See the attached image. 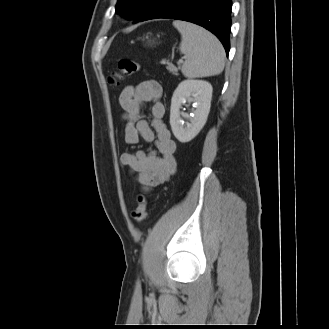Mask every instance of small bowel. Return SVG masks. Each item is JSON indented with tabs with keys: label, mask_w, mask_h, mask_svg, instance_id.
<instances>
[{
	"label": "small bowel",
	"mask_w": 329,
	"mask_h": 329,
	"mask_svg": "<svg viewBox=\"0 0 329 329\" xmlns=\"http://www.w3.org/2000/svg\"><path fill=\"white\" fill-rule=\"evenodd\" d=\"M162 86L156 81H144L126 86L119 96L124 110V138L127 144L140 140L154 143V149L123 153L120 164L136 175V181L145 190L166 183L176 171V144L163 121L165 107L160 101ZM151 104V125L144 119V105Z\"/></svg>",
	"instance_id": "small-bowel-1"
}]
</instances>
